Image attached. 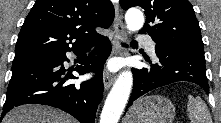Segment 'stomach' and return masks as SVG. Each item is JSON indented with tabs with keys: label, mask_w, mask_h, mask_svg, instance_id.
Instances as JSON below:
<instances>
[{
	"label": "stomach",
	"mask_w": 221,
	"mask_h": 123,
	"mask_svg": "<svg viewBox=\"0 0 221 123\" xmlns=\"http://www.w3.org/2000/svg\"><path fill=\"white\" fill-rule=\"evenodd\" d=\"M174 104L166 97L152 95L140 98L127 112L125 123H172Z\"/></svg>",
	"instance_id": "stomach-1"
}]
</instances>
